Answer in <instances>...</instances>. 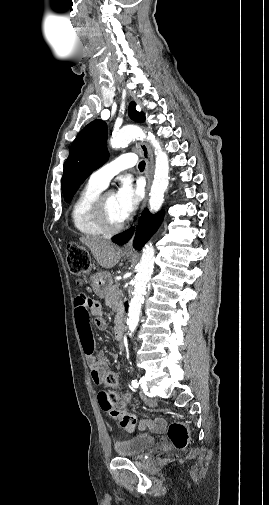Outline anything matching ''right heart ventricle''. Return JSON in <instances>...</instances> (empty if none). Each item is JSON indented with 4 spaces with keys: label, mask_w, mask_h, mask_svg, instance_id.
I'll list each match as a JSON object with an SVG mask.
<instances>
[{
    "label": "right heart ventricle",
    "mask_w": 269,
    "mask_h": 505,
    "mask_svg": "<svg viewBox=\"0 0 269 505\" xmlns=\"http://www.w3.org/2000/svg\"><path fill=\"white\" fill-rule=\"evenodd\" d=\"M103 188L88 182L78 194L71 210V219L75 229L85 236L101 237L106 232L100 227L94 216L93 207Z\"/></svg>",
    "instance_id": "obj_1"
}]
</instances>
